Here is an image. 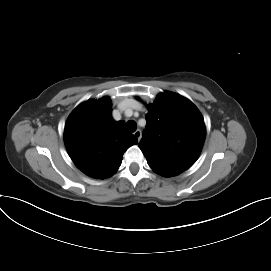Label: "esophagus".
Returning <instances> with one entry per match:
<instances>
[{
    "mask_svg": "<svg viewBox=\"0 0 271 271\" xmlns=\"http://www.w3.org/2000/svg\"><path fill=\"white\" fill-rule=\"evenodd\" d=\"M134 136L137 138V140L139 141L141 139V131L139 129H137L134 132Z\"/></svg>",
    "mask_w": 271,
    "mask_h": 271,
    "instance_id": "1",
    "label": "esophagus"
}]
</instances>
